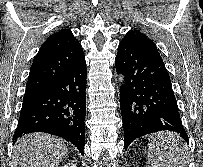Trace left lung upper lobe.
Here are the masks:
<instances>
[{"mask_svg": "<svg viewBox=\"0 0 203 167\" xmlns=\"http://www.w3.org/2000/svg\"><path fill=\"white\" fill-rule=\"evenodd\" d=\"M123 40L132 42L133 44H135L136 46L154 53L158 56H160L156 45L153 43L152 40H150L146 35H144L143 33L137 31V30H131L129 31L125 37L123 38Z\"/></svg>", "mask_w": 203, "mask_h": 167, "instance_id": "left-lung-upper-lobe-1", "label": "left lung upper lobe"}]
</instances>
